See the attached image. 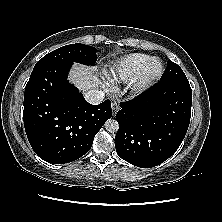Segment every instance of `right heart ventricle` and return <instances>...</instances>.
Masks as SVG:
<instances>
[{
    "mask_svg": "<svg viewBox=\"0 0 222 222\" xmlns=\"http://www.w3.org/2000/svg\"><path fill=\"white\" fill-rule=\"evenodd\" d=\"M151 59V56L140 53L126 55L111 66L108 78L116 83L131 82L142 74Z\"/></svg>",
    "mask_w": 222,
    "mask_h": 222,
    "instance_id": "e07e8e85",
    "label": "right heart ventricle"
}]
</instances>
